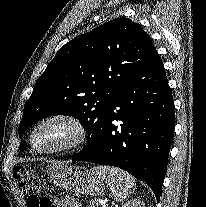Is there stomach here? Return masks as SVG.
I'll return each instance as SVG.
<instances>
[{
  "mask_svg": "<svg viewBox=\"0 0 206 207\" xmlns=\"http://www.w3.org/2000/svg\"><path fill=\"white\" fill-rule=\"evenodd\" d=\"M53 183L63 190L80 195L100 196L104 184L92 171L83 166H67L53 163L46 167Z\"/></svg>",
  "mask_w": 206,
  "mask_h": 207,
  "instance_id": "1",
  "label": "stomach"
}]
</instances>
